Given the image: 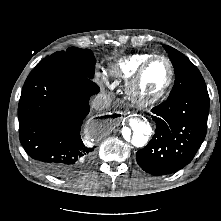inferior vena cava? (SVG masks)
Here are the masks:
<instances>
[{
    "label": "inferior vena cava",
    "mask_w": 221,
    "mask_h": 221,
    "mask_svg": "<svg viewBox=\"0 0 221 221\" xmlns=\"http://www.w3.org/2000/svg\"><path fill=\"white\" fill-rule=\"evenodd\" d=\"M112 97L109 94H98L92 101V107L96 110H104L111 106Z\"/></svg>",
    "instance_id": "1"
}]
</instances>
